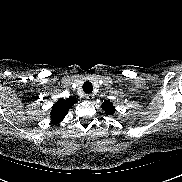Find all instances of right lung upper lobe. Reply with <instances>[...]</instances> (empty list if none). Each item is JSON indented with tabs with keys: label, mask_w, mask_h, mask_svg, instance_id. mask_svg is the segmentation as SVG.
Here are the masks:
<instances>
[{
	"label": "right lung upper lobe",
	"mask_w": 182,
	"mask_h": 182,
	"mask_svg": "<svg viewBox=\"0 0 182 182\" xmlns=\"http://www.w3.org/2000/svg\"><path fill=\"white\" fill-rule=\"evenodd\" d=\"M77 102L74 98L59 99L53 106L50 113L53 123H60L67 115L68 110Z\"/></svg>",
	"instance_id": "1"
}]
</instances>
